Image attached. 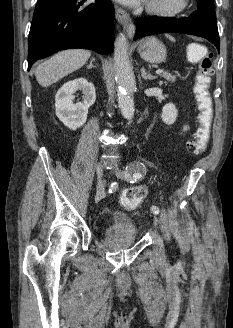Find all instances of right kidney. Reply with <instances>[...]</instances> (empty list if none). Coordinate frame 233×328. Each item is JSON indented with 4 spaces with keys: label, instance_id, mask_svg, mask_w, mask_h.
<instances>
[{
    "label": "right kidney",
    "instance_id": "ca27d5eb",
    "mask_svg": "<svg viewBox=\"0 0 233 328\" xmlns=\"http://www.w3.org/2000/svg\"><path fill=\"white\" fill-rule=\"evenodd\" d=\"M80 90L82 102L73 104L74 93ZM96 93L94 85L85 78L66 82L55 96L56 115L69 129L76 130L83 126L87 119L88 109L94 104Z\"/></svg>",
    "mask_w": 233,
    "mask_h": 328
}]
</instances>
